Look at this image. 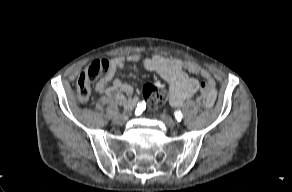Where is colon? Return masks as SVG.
I'll return each instance as SVG.
<instances>
[{
  "label": "colon",
  "mask_w": 292,
  "mask_h": 192,
  "mask_svg": "<svg viewBox=\"0 0 292 192\" xmlns=\"http://www.w3.org/2000/svg\"><path fill=\"white\" fill-rule=\"evenodd\" d=\"M110 69V63L106 59L93 61L79 76L76 84V94L80 102L88 100L91 93V83L100 75L106 74ZM144 100L149 108H157L168 97L167 92L152 84H146L142 90Z\"/></svg>",
  "instance_id": "colon-1"
}]
</instances>
